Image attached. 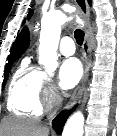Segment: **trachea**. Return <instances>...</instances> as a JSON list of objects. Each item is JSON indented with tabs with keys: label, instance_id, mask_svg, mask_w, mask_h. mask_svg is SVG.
I'll list each match as a JSON object with an SVG mask.
<instances>
[{
	"label": "trachea",
	"instance_id": "obj_1",
	"mask_svg": "<svg viewBox=\"0 0 117 136\" xmlns=\"http://www.w3.org/2000/svg\"><path fill=\"white\" fill-rule=\"evenodd\" d=\"M74 37L76 39V42L79 45H82L83 40H84V32L81 29H76L74 32Z\"/></svg>",
	"mask_w": 117,
	"mask_h": 136
}]
</instances>
